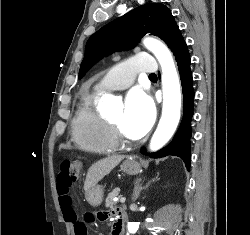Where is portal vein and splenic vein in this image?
I'll use <instances>...</instances> for the list:
<instances>
[{
  "instance_id": "18ae733b",
  "label": "portal vein and splenic vein",
  "mask_w": 250,
  "mask_h": 235,
  "mask_svg": "<svg viewBox=\"0 0 250 235\" xmlns=\"http://www.w3.org/2000/svg\"><path fill=\"white\" fill-rule=\"evenodd\" d=\"M114 201H118V199H114ZM125 201H126V198H125V197H122V198L120 199V202H121V203H125Z\"/></svg>"
}]
</instances>
